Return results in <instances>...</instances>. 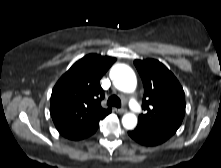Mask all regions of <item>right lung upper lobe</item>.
<instances>
[{
  "mask_svg": "<svg viewBox=\"0 0 221 168\" xmlns=\"http://www.w3.org/2000/svg\"><path fill=\"white\" fill-rule=\"evenodd\" d=\"M116 58L89 54L78 60L52 90L50 113L61 135L73 136L98 127L111 108H103L100 79Z\"/></svg>",
  "mask_w": 221,
  "mask_h": 168,
  "instance_id": "obj_1",
  "label": "right lung upper lobe"
}]
</instances>
